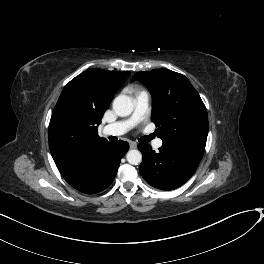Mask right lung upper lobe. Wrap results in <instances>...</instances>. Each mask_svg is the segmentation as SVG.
I'll list each match as a JSON object with an SVG mask.
<instances>
[{"label":"right lung upper lobe","instance_id":"obj_1","mask_svg":"<svg viewBox=\"0 0 264 264\" xmlns=\"http://www.w3.org/2000/svg\"><path fill=\"white\" fill-rule=\"evenodd\" d=\"M130 72L88 70L63 89L49 124V147L59 172L65 173L108 143L98 125Z\"/></svg>","mask_w":264,"mask_h":264}]
</instances>
